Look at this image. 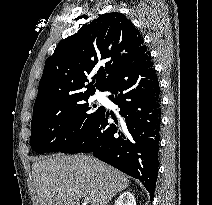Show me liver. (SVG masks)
Returning a JSON list of instances; mask_svg holds the SVG:
<instances>
[{
    "mask_svg": "<svg viewBox=\"0 0 212 205\" xmlns=\"http://www.w3.org/2000/svg\"><path fill=\"white\" fill-rule=\"evenodd\" d=\"M38 205H107L129 186L126 174L85 155H57L42 158L32 166Z\"/></svg>",
    "mask_w": 212,
    "mask_h": 205,
    "instance_id": "liver-1",
    "label": "liver"
}]
</instances>
